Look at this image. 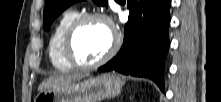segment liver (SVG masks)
I'll list each match as a JSON object with an SVG mask.
<instances>
[{
    "label": "liver",
    "instance_id": "1",
    "mask_svg": "<svg viewBox=\"0 0 221 102\" xmlns=\"http://www.w3.org/2000/svg\"><path fill=\"white\" fill-rule=\"evenodd\" d=\"M83 77L80 74H69V75H58L52 76L44 80L38 87V91L41 92L46 89H50L53 87L62 86L76 80H79Z\"/></svg>",
    "mask_w": 221,
    "mask_h": 102
}]
</instances>
